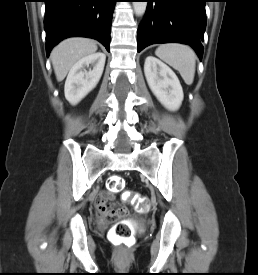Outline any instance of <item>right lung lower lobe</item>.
I'll return each instance as SVG.
<instances>
[{
    "mask_svg": "<svg viewBox=\"0 0 258 275\" xmlns=\"http://www.w3.org/2000/svg\"><path fill=\"white\" fill-rule=\"evenodd\" d=\"M117 0H44L46 52L61 40L82 36L100 41L110 50V31Z\"/></svg>",
    "mask_w": 258,
    "mask_h": 275,
    "instance_id": "obj_1",
    "label": "right lung lower lobe"
}]
</instances>
